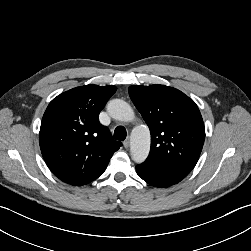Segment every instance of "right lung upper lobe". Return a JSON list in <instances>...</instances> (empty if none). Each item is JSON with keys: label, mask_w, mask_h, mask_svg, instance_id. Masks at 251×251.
Wrapping results in <instances>:
<instances>
[{"label": "right lung upper lobe", "mask_w": 251, "mask_h": 251, "mask_svg": "<svg viewBox=\"0 0 251 251\" xmlns=\"http://www.w3.org/2000/svg\"><path fill=\"white\" fill-rule=\"evenodd\" d=\"M116 90L115 86H81L58 95L48 105L39 143L46 164L60 180L71 185L95 180L122 146L98 120Z\"/></svg>", "instance_id": "1"}]
</instances>
